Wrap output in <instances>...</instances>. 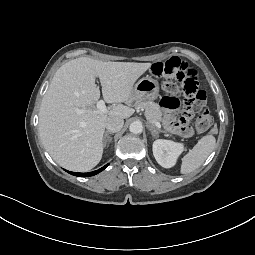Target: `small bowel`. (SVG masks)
I'll return each instance as SVG.
<instances>
[{
	"label": "small bowel",
	"mask_w": 255,
	"mask_h": 255,
	"mask_svg": "<svg viewBox=\"0 0 255 255\" xmlns=\"http://www.w3.org/2000/svg\"><path fill=\"white\" fill-rule=\"evenodd\" d=\"M164 117L169 131L183 137H190L193 134L190 126V117L177 118L178 100L173 97H165L161 101Z\"/></svg>",
	"instance_id": "c3829d8e"
}]
</instances>
